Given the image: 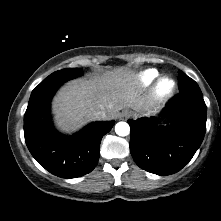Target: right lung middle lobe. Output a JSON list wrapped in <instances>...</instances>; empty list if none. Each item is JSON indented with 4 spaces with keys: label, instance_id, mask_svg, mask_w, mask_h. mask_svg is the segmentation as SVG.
Here are the masks:
<instances>
[{
    "label": "right lung middle lobe",
    "instance_id": "dd1d6c3e",
    "mask_svg": "<svg viewBox=\"0 0 221 221\" xmlns=\"http://www.w3.org/2000/svg\"><path fill=\"white\" fill-rule=\"evenodd\" d=\"M81 75V70L79 68H66L58 70L50 74L45 78L33 91L36 92L41 89H45L52 86H59L69 79L75 78Z\"/></svg>",
    "mask_w": 221,
    "mask_h": 221
}]
</instances>
